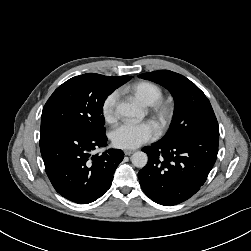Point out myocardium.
<instances>
[{"instance_id": "f54148a6", "label": "myocardium", "mask_w": 251, "mask_h": 251, "mask_svg": "<svg viewBox=\"0 0 251 251\" xmlns=\"http://www.w3.org/2000/svg\"><path fill=\"white\" fill-rule=\"evenodd\" d=\"M150 113L160 130H165L172 122L175 114L174 104L160 99L150 106Z\"/></svg>"}]
</instances>
